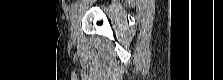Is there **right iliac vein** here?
<instances>
[{
    "instance_id": "right-iliac-vein-1",
    "label": "right iliac vein",
    "mask_w": 223,
    "mask_h": 80,
    "mask_svg": "<svg viewBox=\"0 0 223 80\" xmlns=\"http://www.w3.org/2000/svg\"><path fill=\"white\" fill-rule=\"evenodd\" d=\"M76 28H77V20H76V18H74L72 21V24H71V36L73 38L76 37Z\"/></svg>"
}]
</instances>
